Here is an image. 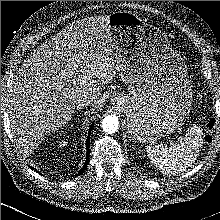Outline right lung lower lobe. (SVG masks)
<instances>
[{
	"label": "right lung lower lobe",
	"instance_id": "right-lung-lower-lobe-1",
	"mask_svg": "<svg viewBox=\"0 0 220 220\" xmlns=\"http://www.w3.org/2000/svg\"><path fill=\"white\" fill-rule=\"evenodd\" d=\"M92 127H93V125H91L90 128H89L87 141H86V149H87L86 161L84 163L83 168L78 172L77 175H81L84 172V170L86 169L87 165H88V161H89V141H90V135H91Z\"/></svg>",
	"mask_w": 220,
	"mask_h": 220
}]
</instances>
